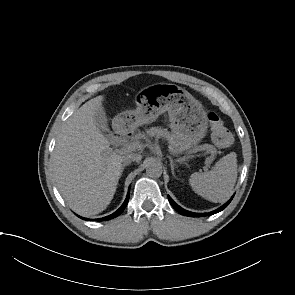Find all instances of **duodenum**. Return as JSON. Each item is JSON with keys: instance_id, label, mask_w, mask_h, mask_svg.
<instances>
[{"instance_id": "410a0bca", "label": "duodenum", "mask_w": 295, "mask_h": 295, "mask_svg": "<svg viewBox=\"0 0 295 295\" xmlns=\"http://www.w3.org/2000/svg\"><path fill=\"white\" fill-rule=\"evenodd\" d=\"M116 141L119 145L125 146L131 139V133L128 129V124L125 121L119 122L115 127Z\"/></svg>"}]
</instances>
